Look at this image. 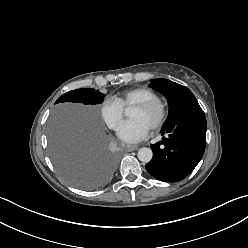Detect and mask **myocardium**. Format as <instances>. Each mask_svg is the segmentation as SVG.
Masks as SVG:
<instances>
[{"mask_svg": "<svg viewBox=\"0 0 248 248\" xmlns=\"http://www.w3.org/2000/svg\"><path fill=\"white\" fill-rule=\"evenodd\" d=\"M132 108H136L142 111H149L152 109H155L157 111L156 118L149 126L150 130L160 129L166 121L167 107L163 100L158 97L150 98L148 100L136 103L132 106Z\"/></svg>", "mask_w": 248, "mask_h": 248, "instance_id": "f54148a6", "label": "myocardium"}]
</instances>
